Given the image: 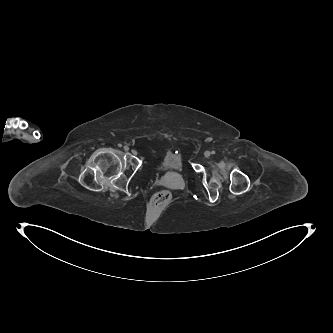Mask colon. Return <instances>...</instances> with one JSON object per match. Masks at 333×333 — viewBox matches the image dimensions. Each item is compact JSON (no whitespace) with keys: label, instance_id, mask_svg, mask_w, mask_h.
<instances>
[{"label":"colon","instance_id":"1","mask_svg":"<svg viewBox=\"0 0 333 333\" xmlns=\"http://www.w3.org/2000/svg\"><path fill=\"white\" fill-rule=\"evenodd\" d=\"M172 202V194L168 190H161L151 198V205L154 209L163 210Z\"/></svg>","mask_w":333,"mask_h":333}]
</instances>
